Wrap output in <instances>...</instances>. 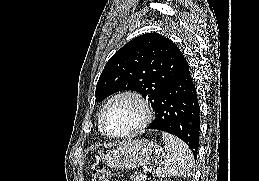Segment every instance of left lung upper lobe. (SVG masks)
<instances>
[{"mask_svg": "<svg viewBox=\"0 0 259 181\" xmlns=\"http://www.w3.org/2000/svg\"><path fill=\"white\" fill-rule=\"evenodd\" d=\"M178 47L159 33L140 35L119 49L106 63L96 86V102L122 90L147 97L153 109L179 72Z\"/></svg>", "mask_w": 259, "mask_h": 181, "instance_id": "1", "label": "left lung upper lobe"}]
</instances>
